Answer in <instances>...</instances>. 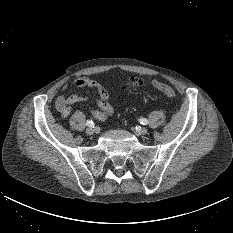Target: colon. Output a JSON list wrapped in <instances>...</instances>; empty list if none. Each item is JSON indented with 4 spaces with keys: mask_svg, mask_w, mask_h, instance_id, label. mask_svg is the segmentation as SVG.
<instances>
[{
    "mask_svg": "<svg viewBox=\"0 0 233 233\" xmlns=\"http://www.w3.org/2000/svg\"><path fill=\"white\" fill-rule=\"evenodd\" d=\"M143 82L138 79V78H132L129 82H128V85L129 86H132V87H136V86H140L142 85ZM152 86L159 90L160 92H162L163 94H165L166 96L168 97H175V91L172 87L168 86L167 84H164L162 82H159V81H153L152 82Z\"/></svg>",
    "mask_w": 233,
    "mask_h": 233,
    "instance_id": "1",
    "label": "colon"
}]
</instances>
